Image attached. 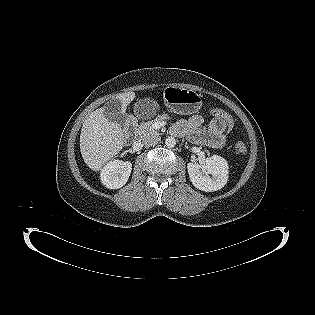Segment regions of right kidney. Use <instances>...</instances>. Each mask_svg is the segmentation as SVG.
<instances>
[{
  "label": "right kidney",
  "mask_w": 315,
  "mask_h": 315,
  "mask_svg": "<svg viewBox=\"0 0 315 315\" xmlns=\"http://www.w3.org/2000/svg\"><path fill=\"white\" fill-rule=\"evenodd\" d=\"M131 170L130 162L114 160L103 167L100 179L107 188L119 189L127 183Z\"/></svg>",
  "instance_id": "obj_1"
}]
</instances>
